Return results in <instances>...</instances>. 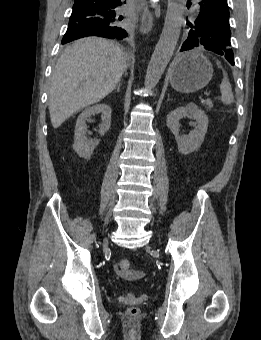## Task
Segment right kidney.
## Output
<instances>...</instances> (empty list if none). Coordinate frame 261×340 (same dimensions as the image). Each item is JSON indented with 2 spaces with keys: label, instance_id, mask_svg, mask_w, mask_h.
I'll return each mask as SVG.
<instances>
[{
  "label": "right kidney",
  "instance_id": "ca27d5eb",
  "mask_svg": "<svg viewBox=\"0 0 261 340\" xmlns=\"http://www.w3.org/2000/svg\"><path fill=\"white\" fill-rule=\"evenodd\" d=\"M95 114H100L102 119V123L99 128L100 135H104L110 129L111 108L109 105L97 104L86 108L79 115L75 126L73 149L82 158H89L100 141L99 139H88L86 137V121Z\"/></svg>",
  "mask_w": 261,
  "mask_h": 340
}]
</instances>
